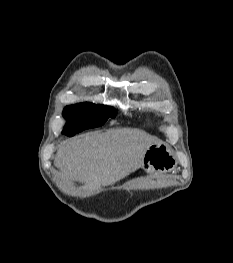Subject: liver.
Wrapping results in <instances>:
<instances>
[{
  "label": "liver",
  "instance_id": "obj_1",
  "mask_svg": "<svg viewBox=\"0 0 233 263\" xmlns=\"http://www.w3.org/2000/svg\"><path fill=\"white\" fill-rule=\"evenodd\" d=\"M155 143V137L138 129L92 132L67 141L57 151L54 165L65 181L81 182L86 194H93L141 168L146 150Z\"/></svg>",
  "mask_w": 233,
  "mask_h": 263
}]
</instances>
